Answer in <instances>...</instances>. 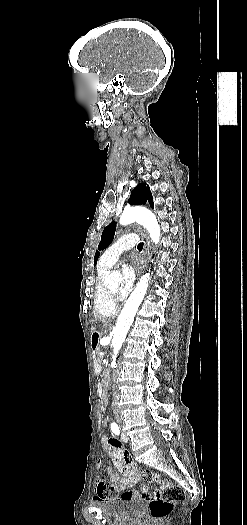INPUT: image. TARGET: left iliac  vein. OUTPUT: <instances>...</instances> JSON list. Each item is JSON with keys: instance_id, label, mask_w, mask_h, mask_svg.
<instances>
[{"instance_id": "left-iliac-vein-1", "label": "left iliac vein", "mask_w": 247, "mask_h": 525, "mask_svg": "<svg viewBox=\"0 0 247 525\" xmlns=\"http://www.w3.org/2000/svg\"><path fill=\"white\" fill-rule=\"evenodd\" d=\"M121 438L125 443L128 442V437L124 433L121 434Z\"/></svg>"}]
</instances>
